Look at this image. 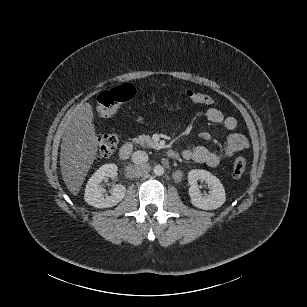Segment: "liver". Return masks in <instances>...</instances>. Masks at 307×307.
Masks as SVG:
<instances>
[{"instance_id": "obj_1", "label": "liver", "mask_w": 307, "mask_h": 307, "mask_svg": "<svg viewBox=\"0 0 307 307\" xmlns=\"http://www.w3.org/2000/svg\"><path fill=\"white\" fill-rule=\"evenodd\" d=\"M92 120V106L83 103L77 105L61 123L63 129L60 152L61 174L68 190L74 196L78 195L98 151Z\"/></svg>"}]
</instances>
